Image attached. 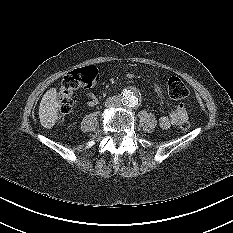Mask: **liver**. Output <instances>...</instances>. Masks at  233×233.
Here are the masks:
<instances>
[{
    "instance_id": "obj_1",
    "label": "liver",
    "mask_w": 233,
    "mask_h": 233,
    "mask_svg": "<svg viewBox=\"0 0 233 233\" xmlns=\"http://www.w3.org/2000/svg\"><path fill=\"white\" fill-rule=\"evenodd\" d=\"M60 103L57 97L56 88L49 89L42 97L39 107L40 123L44 128H52L57 119Z\"/></svg>"
}]
</instances>
